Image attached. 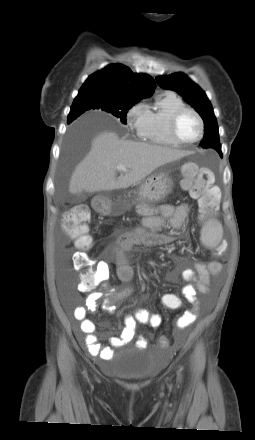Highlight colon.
I'll return each mask as SVG.
<instances>
[{
	"label": "colon",
	"mask_w": 255,
	"mask_h": 440,
	"mask_svg": "<svg viewBox=\"0 0 255 440\" xmlns=\"http://www.w3.org/2000/svg\"><path fill=\"white\" fill-rule=\"evenodd\" d=\"M183 179L181 185L188 190L191 197L199 202L200 210L205 214L214 213L218 208L219 193L213 187L214 174L211 169L198 167L195 164H187L182 170ZM90 210L85 205H75L66 211L62 217L61 225L69 238L80 249L73 255V267L81 272L79 289L86 291L94 287L96 283V266L93 260L84 252L91 246V236L88 231ZM161 306L165 311H181L183 308L181 298H161ZM161 352H170L173 340H169L166 334L157 336Z\"/></svg>",
	"instance_id": "obj_1"
}]
</instances>
